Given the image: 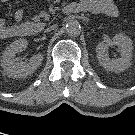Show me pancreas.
Wrapping results in <instances>:
<instances>
[{"label": "pancreas", "instance_id": "cf45deb5", "mask_svg": "<svg viewBox=\"0 0 135 135\" xmlns=\"http://www.w3.org/2000/svg\"><path fill=\"white\" fill-rule=\"evenodd\" d=\"M23 27L29 28L30 32H38L40 28L36 23L25 22L22 24Z\"/></svg>", "mask_w": 135, "mask_h": 135}]
</instances>
